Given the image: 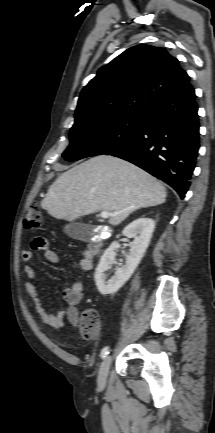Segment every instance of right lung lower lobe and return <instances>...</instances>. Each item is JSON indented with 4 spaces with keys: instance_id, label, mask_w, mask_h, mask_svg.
I'll use <instances>...</instances> for the list:
<instances>
[{
    "instance_id": "98d812e1",
    "label": "right lung lower lobe",
    "mask_w": 215,
    "mask_h": 433,
    "mask_svg": "<svg viewBox=\"0 0 215 433\" xmlns=\"http://www.w3.org/2000/svg\"><path fill=\"white\" fill-rule=\"evenodd\" d=\"M197 111L195 91L189 83L143 114V125L135 139L106 154L139 166L184 198L199 149Z\"/></svg>"
}]
</instances>
